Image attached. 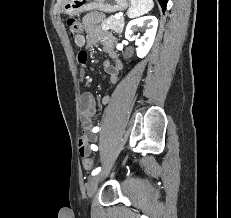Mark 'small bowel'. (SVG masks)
Here are the masks:
<instances>
[{
    "label": "small bowel",
    "instance_id": "obj_1",
    "mask_svg": "<svg viewBox=\"0 0 231 218\" xmlns=\"http://www.w3.org/2000/svg\"><path fill=\"white\" fill-rule=\"evenodd\" d=\"M103 19V14L101 12H91L88 13L83 18V26L86 31V36H80L74 39V43L77 47L90 48L96 44H100L101 49L109 55L110 58H116V52L114 50V37L108 33L100 31L97 28V24ZM78 65H87V58L85 56H80L78 58ZM104 70L110 76V82L115 85L118 81L119 73L121 70L120 62L112 64L110 61H105L103 64ZM110 95H105L101 102L103 105H107L110 102ZM97 111V103L93 95L85 90L80 97V114L81 123L84 131L91 132L93 130V117ZM91 141L88 137L84 136L79 140V152L81 156L87 155L90 150Z\"/></svg>",
    "mask_w": 231,
    "mask_h": 218
}]
</instances>
